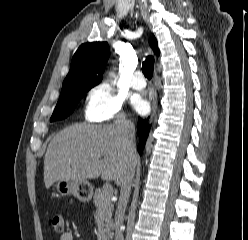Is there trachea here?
Listing matches in <instances>:
<instances>
[{
	"instance_id": "trachea-1",
	"label": "trachea",
	"mask_w": 248,
	"mask_h": 240,
	"mask_svg": "<svg viewBox=\"0 0 248 240\" xmlns=\"http://www.w3.org/2000/svg\"><path fill=\"white\" fill-rule=\"evenodd\" d=\"M153 70H154V58L152 56H148L142 65V72L148 80L152 78Z\"/></svg>"
}]
</instances>
